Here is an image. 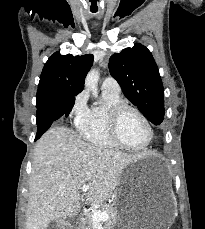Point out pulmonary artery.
<instances>
[{
    "mask_svg": "<svg viewBox=\"0 0 205 229\" xmlns=\"http://www.w3.org/2000/svg\"><path fill=\"white\" fill-rule=\"evenodd\" d=\"M102 89L114 94L120 93V86L117 81L111 77H107L102 84Z\"/></svg>",
    "mask_w": 205,
    "mask_h": 229,
    "instance_id": "e3ab8cb5",
    "label": "pulmonary artery"
}]
</instances>
